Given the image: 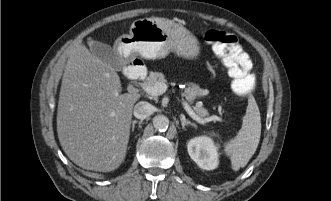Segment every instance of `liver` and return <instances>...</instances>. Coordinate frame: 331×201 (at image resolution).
<instances>
[{
    "label": "liver",
    "mask_w": 331,
    "mask_h": 201,
    "mask_svg": "<svg viewBox=\"0 0 331 201\" xmlns=\"http://www.w3.org/2000/svg\"><path fill=\"white\" fill-rule=\"evenodd\" d=\"M120 78L82 44L69 52L60 89L57 133L77 166L110 172L123 162L138 93L120 94Z\"/></svg>",
    "instance_id": "obj_1"
}]
</instances>
